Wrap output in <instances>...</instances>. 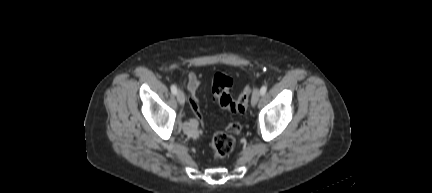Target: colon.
<instances>
[{
    "label": "colon",
    "instance_id": "colon-1",
    "mask_svg": "<svg viewBox=\"0 0 432 193\" xmlns=\"http://www.w3.org/2000/svg\"><path fill=\"white\" fill-rule=\"evenodd\" d=\"M233 78L225 73H217L213 78L212 92L220 106L231 113H243L247 106L252 89L245 87L238 97L231 94ZM235 147L232 136L217 131L211 141V150L216 159H225L230 156Z\"/></svg>",
    "mask_w": 432,
    "mask_h": 193
}]
</instances>
